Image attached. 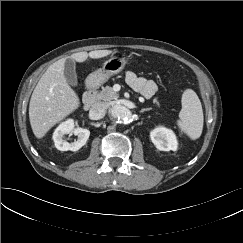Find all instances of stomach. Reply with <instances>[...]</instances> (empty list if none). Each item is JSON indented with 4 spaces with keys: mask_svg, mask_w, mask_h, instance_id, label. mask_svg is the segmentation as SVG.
<instances>
[{
    "mask_svg": "<svg viewBox=\"0 0 243 243\" xmlns=\"http://www.w3.org/2000/svg\"><path fill=\"white\" fill-rule=\"evenodd\" d=\"M127 63L126 58L113 57L107 60L103 67L91 73L87 79V86L93 88L104 84L111 76L119 73Z\"/></svg>",
    "mask_w": 243,
    "mask_h": 243,
    "instance_id": "0dacf381",
    "label": "stomach"
}]
</instances>
